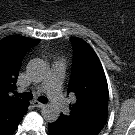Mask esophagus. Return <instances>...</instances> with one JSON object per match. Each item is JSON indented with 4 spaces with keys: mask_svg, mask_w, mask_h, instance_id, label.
Listing matches in <instances>:
<instances>
[{
    "mask_svg": "<svg viewBox=\"0 0 135 135\" xmlns=\"http://www.w3.org/2000/svg\"><path fill=\"white\" fill-rule=\"evenodd\" d=\"M31 104H32L34 107H37V108H42V107H44V104L40 103V102L37 101V100L32 101Z\"/></svg>",
    "mask_w": 135,
    "mask_h": 135,
    "instance_id": "1",
    "label": "esophagus"
}]
</instances>
